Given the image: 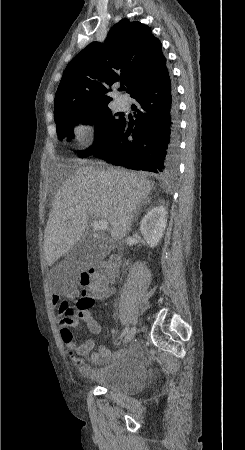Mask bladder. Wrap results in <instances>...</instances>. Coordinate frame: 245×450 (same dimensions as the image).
I'll return each mask as SVG.
<instances>
[{"mask_svg":"<svg viewBox=\"0 0 245 450\" xmlns=\"http://www.w3.org/2000/svg\"><path fill=\"white\" fill-rule=\"evenodd\" d=\"M80 370L85 383L126 396L139 393L147 377L142 360L128 357L101 361L94 365L82 364Z\"/></svg>","mask_w":245,"mask_h":450,"instance_id":"1","label":"bladder"}]
</instances>
